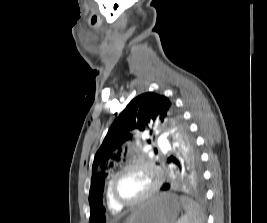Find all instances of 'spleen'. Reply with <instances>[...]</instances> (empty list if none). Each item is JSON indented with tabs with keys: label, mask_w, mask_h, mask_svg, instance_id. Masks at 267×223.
Wrapping results in <instances>:
<instances>
[{
	"label": "spleen",
	"mask_w": 267,
	"mask_h": 223,
	"mask_svg": "<svg viewBox=\"0 0 267 223\" xmlns=\"http://www.w3.org/2000/svg\"><path fill=\"white\" fill-rule=\"evenodd\" d=\"M180 201L186 213L177 223H204L205 215L198 203L186 196H180Z\"/></svg>",
	"instance_id": "1"
}]
</instances>
